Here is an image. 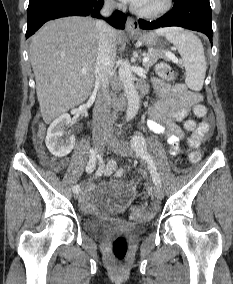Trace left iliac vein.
I'll use <instances>...</instances> for the list:
<instances>
[{
	"label": "left iliac vein",
	"mask_w": 233,
	"mask_h": 284,
	"mask_svg": "<svg viewBox=\"0 0 233 284\" xmlns=\"http://www.w3.org/2000/svg\"><path fill=\"white\" fill-rule=\"evenodd\" d=\"M107 146L109 149L122 156L132 155L133 151L132 146L126 141L112 137L107 140ZM153 195L155 196V198L159 200L163 199L164 197L163 189L160 186H155L153 188Z\"/></svg>",
	"instance_id": "4c4485c4"
}]
</instances>
